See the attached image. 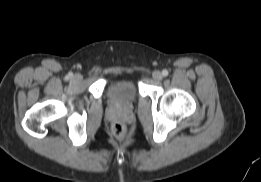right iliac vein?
Wrapping results in <instances>:
<instances>
[{
	"mask_svg": "<svg viewBox=\"0 0 261 182\" xmlns=\"http://www.w3.org/2000/svg\"><path fill=\"white\" fill-rule=\"evenodd\" d=\"M82 79H83V77H82V75H80V74H76V75H74V77H73V80H74V81H77V82L81 81Z\"/></svg>",
	"mask_w": 261,
	"mask_h": 182,
	"instance_id": "obj_1",
	"label": "right iliac vein"
}]
</instances>
